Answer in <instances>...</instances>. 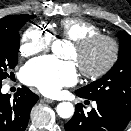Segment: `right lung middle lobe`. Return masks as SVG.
<instances>
[{
	"label": "right lung middle lobe",
	"instance_id": "1",
	"mask_svg": "<svg viewBox=\"0 0 131 131\" xmlns=\"http://www.w3.org/2000/svg\"><path fill=\"white\" fill-rule=\"evenodd\" d=\"M34 15H12L6 23H0V86L8 76L7 70L18 63L20 28Z\"/></svg>",
	"mask_w": 131,
	"mask_h": 131
}]
</instances>
